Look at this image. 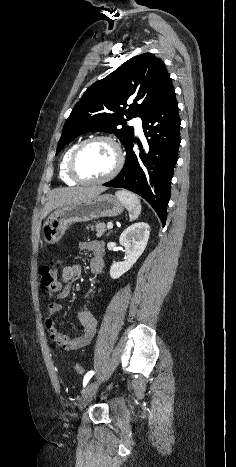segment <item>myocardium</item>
<instances>
[{
    "label": "myocardium",
    "mask_w": 236,
    "mask_h": 467,
    "mask_svg": "<svg viewBox=\"0 0 236 467\" xmlns=\"http://www.w3.org/2000/svg\"><path fill=\"white\" fill-rule=\"evenodd\" d=\"M97 141H106L111 144L116 154V162L112 170L104 177L99 178V179H94V180H87V179L82 178L81 175L79 174L77 170V160H78L80 153L82 152L84 148H86L88 145L94 142H97ZM124 162H125L124 152L120 144L117 142V140L109 135H97V136L84 140L74 149L68 162V174L73 180H75L76 182L80 184H84V185L101 184L117 176L119 172L122 170L124 166Z\"/></svg>",
    "instance_id": "1"
}]
</instances>
